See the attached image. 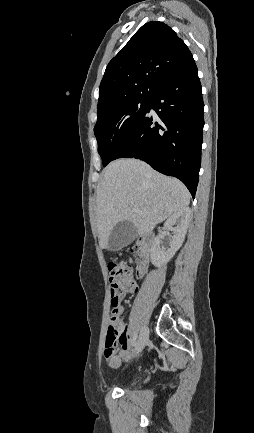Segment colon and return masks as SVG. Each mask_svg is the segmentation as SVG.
<instances>
[{
    "mask_svg": "<svg viewBox=\"0 0 254 433\" xmlns=\"http://www.w3.org/2000/svg\"><path fill=\"white\" fill-rule=\"evenodd\" d=\"M107 267L111 290V312L105 354L111 355L115 352L116 346L120 344L124 329L120 321V306L115 291L133 292L136 289V284L133 280L132 268L128 263L109 261Z\"/></svg>",
    "mask_w": 254,
    "mask_h": 433,
    "instance_id": "obj_1",
    "label": "colon"
}]
</instances>
